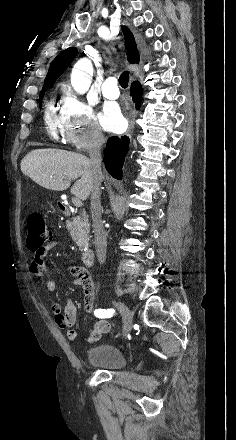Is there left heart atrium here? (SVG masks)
<instances>
[{"instance_id": "39dd6f15", "label": "left heart atrium", "mask_w": 236, "mask_h": 440, "mask_svg": "<svg viewBox=\"0 0 236 440\" xmlns=\"http://www.w3.org/2000/svg\"><path fill=\"white\" fill-rule=\"evenodd\" d=\"M101 123L109 131L115 132L121 129L123 119L119 108L115 105H108L101 116Z\"/></svg>"}]
</instances>
